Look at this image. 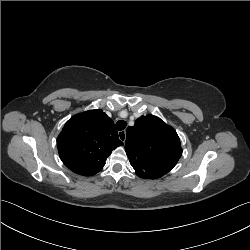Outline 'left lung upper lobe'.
<instances>
[{
    "mask_svg": "<svg viewBox=\"0 0 250 250\" xmlns=\"http://www.w3.org/2000/svg\"><path fill=\"white\" fill-rule=\"evenodd\" d=\"M125 151L137 176L147 171L161 177L168 173L182 155L176 131L154 115L141 116L126 130Z\"/></svg>",
    "mask_w": 250,
    "mask_h": 250,
    "instance_id": "5c2ea615",
    "label": "left lung upper lobe"
}]
</instances>
